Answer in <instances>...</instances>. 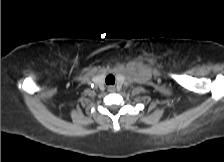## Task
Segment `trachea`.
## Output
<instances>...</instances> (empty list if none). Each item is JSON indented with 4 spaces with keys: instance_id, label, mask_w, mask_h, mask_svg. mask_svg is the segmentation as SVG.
Returning <instances> with one entry per match:
<instances>
[{
    "instance_id": "3493384b",
    "label": "trachea",
    "mask_w": 224,
    "mask_h": 162,
    "mask_svg": "<svg viewBox=\"0 0 224 162\" xmlns=\"http://www.w3.org/2000/svg\"><path fill=\"white\" fill-rule=\"evenodd\" d=\"M105 82L107 85H113L115 83V77L112 74H109L106 76Z\"/></svg>"
}]
</instances>
